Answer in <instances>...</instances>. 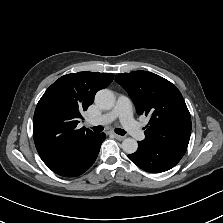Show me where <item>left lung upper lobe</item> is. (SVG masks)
<instances>
[{"instance_id": "obj_1", "label": "left lung upper lobe", "mask_w": 223, "mask_h": 223, "mask_svg": "<svg viewBox=\"0 0 223 223\" xmlns=\"http://www.w3.org/2000/svg\"><path fill=\"white\" fill-rule=\"evenodd\" d=\"M139 115L150 116L143 142L183 156L191 134V117L180 93L168 80L147 71L117 74Z\"/></svg>"}]
</instances>
